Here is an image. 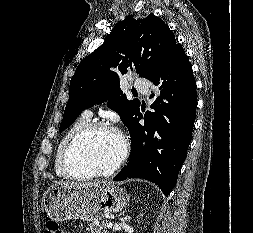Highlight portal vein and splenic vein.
I'll use <instances>...</instances> for the list:
<instances>
[{"mask_svg": "<svg viewBox=\"0 0 253 233\" xmlns=\"http://www.w3.org/2000/svg\"><path fill=\"white\" fill-rule=\"evenodd\" d=\"M107 228H112L113 224L110 222V223H107Z\"/></svg>", "mask_w": 253, "mask_h": 233, "instance_id": "1", "label": "portal vein and splenic vein"}]
</instances>
